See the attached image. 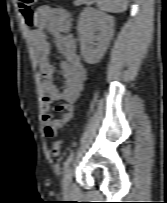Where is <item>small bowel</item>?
I'll list each match as a JSON object with an SVG mask.
<instances>
[{
	"instance_id": "c3829d8e",
	"label": "small bowel",
	"mask_w": 167,
	"mask_h": 203,
	"mask_svg": "<svg viewBox=\"0 0 167 203\" xmlns=\"http://www.w3.org/2000/svg\"><path fill=\"white\" fill-rule=\"evenodd\" d=\"M54 36L58 52L63 56L59 64L62 75L60 85L55 83L56 68L52 62L51 44L47 33ZM31 42L42 75V121L46 137H53L68 123L75 109L82 84L86 79V69L77 53L76 40L72 33L70 15L62 9L40 7L33 16ZM60 101L55 111L60 114L54 118L51 106Z\"/></svg>"
}]
</instances>
